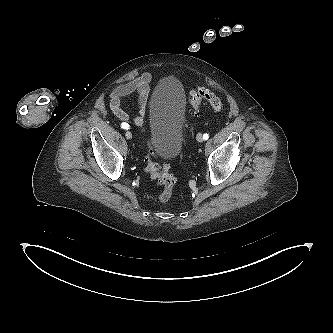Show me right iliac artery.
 Listing matches in <instances>:
<instances>
[{"label": "right iliac artery", "instance_id": "obj_1", "mask_svg": "<svg viewBox=\"0 0 333 333\" xmlns=\"http://www.w3.org/2000/svg\"><path fill=\"white\" fill-rule=\"evenodd\" d=\"M129 125L127 124V123H122L121 124V128H123V129H129Z\"/></svg>", "mask_w": 333, "mask_h": 333}]
</instances>
